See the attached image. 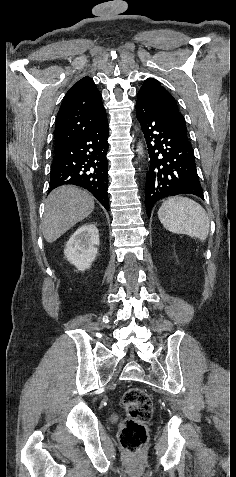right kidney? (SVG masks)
I'll use <instances>...</instances> for the list:
<instances>
[{
    "label": "right kidney",
    "mask_w": 236,
    "mask_h": 477,
    "mask_svg": "<svg viewBox=\"0 0 236 477\" xmlns=\"http://www.w3.org/2000/svg\"><path fill=\"white\" fill-rule=\"evenodd\" d=\"M99 246V231L93 224H84L70 237L64 250L67 260L79 271L89 269Z\"/></svg>",
    "instance_id": "1"
}]
</instances>
